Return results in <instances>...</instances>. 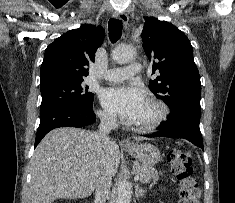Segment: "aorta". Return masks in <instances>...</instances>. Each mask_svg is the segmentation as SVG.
<instances>
[{
  "instance_id": "obj_1",
  "label": "aorta",
  "mask_w": 235,
  "mask_h": 203,
  "mask_svg": "<svg viewBox=\"0 0 235 203\" xmlns=\"http://www.w3.org/2000/svg\"><path fill=\"white\" fill-rule=\"evenodd\" d=\"M136 52L132 47L118 45L112 51V59L118 64H125L135 59ZM131 185L129 181L122 180L117 188L116 203H130Z\"/></svg>"
}]
</instances>
